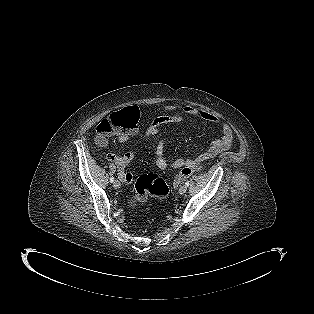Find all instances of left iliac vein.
Wrapping results in <instances>:
<instances>
[{
  "mask_svg": "<svg viewBox=\"0 0 314 314\" xmlns=\"http://www.w3.org/2000/svg\"><path fill=\"white\" fill-rule=\"evenodd\" d=\"M187 191V186L186 185H182L180 188H179V193L182 195V194H185Z\"/></svg>",
  "mask_w": 314,
  "mask_h": 314,
  "instance_id": "4c4485c4",
  "label": "left iliac vein"
}]
</instances>
